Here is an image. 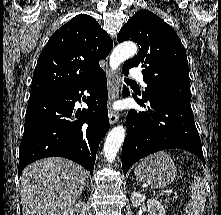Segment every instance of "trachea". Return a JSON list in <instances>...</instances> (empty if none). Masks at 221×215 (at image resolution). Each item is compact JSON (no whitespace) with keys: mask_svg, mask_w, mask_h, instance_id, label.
<instances>
[{"mask_svg":"<svg viewBox=\"0 0 221 215\" xmlns=\"http://www.w3.org/2000/svg\"><path fill=\"white\" fill-rule=\"evenodd\" d=\"M125 80H126V81H132V80H130V79H126V78H125Z\"/></svg>","mask_w":221,"mask_h":215,"instance_id":"obj_1","label":"trachea"}]
</instances>
